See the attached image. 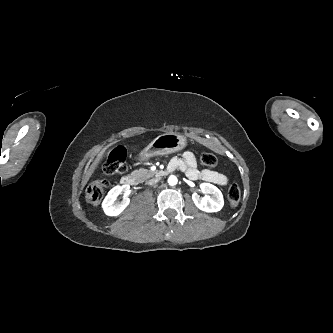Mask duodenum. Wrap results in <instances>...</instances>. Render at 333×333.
I'll return each mask as SVG.
<instances>
[{
	"label": "duodenum",
	"mask_w": 333,
	"mask_h": 333,
	"mask_svg": "<svg viewBox=\"0 0 333 333\" xmlns=\"http://www.w3.org/2000/svg\"><path fill=\"white\" fill-rule=\"evenodd\" d=\"M173 170H175V167H173L169 164L165 169L160 170L158 172V174H159V176H165L168 173L172 172ZM121 183L123 185L134 186L137 184V179L134 175L128 174L121 178Z\"/></svg>",
	"instance_id": "duodenum-1"
}]
</instances>
